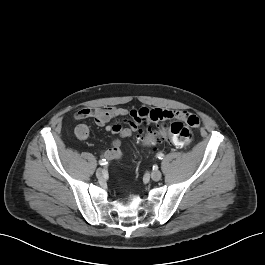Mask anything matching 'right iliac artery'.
<instances>
[{"instance_id":"1","label":"right iliac artery","mask_w":265,"mask_h":265,"mask_svg":"<svg viewBox=\"0 0 265 265\" xmlns=\"http://www.w3.org/2000/svg\"><path fill=\"white\" fill-rule=\"evenodd\" d=\"M99 164L100 165H107L108 162L106 161V159H102V160H99Z\"/></svg>"}]
</instances>
